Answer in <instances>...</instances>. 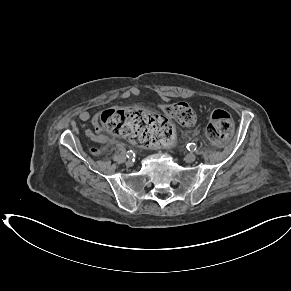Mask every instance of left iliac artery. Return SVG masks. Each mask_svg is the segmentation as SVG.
I'll return each instance as SVG.
<instances>
[{"label": "left iliac artery", "mask_w": 291, "mask_h": 291, "mask_svg": "<svg viewBox=\"0 0 291 291\" xmlns=\"http://www.w3.org/2000/svg\"><path fill=\"white\" fill-rule=\"evenodd\" d=\"M196 148H197V146H196L195 143H188V144H187V149H188L189 151H194V150H196Z\"/></svg>", "instance_id": "44dca946"}]
</instances>
